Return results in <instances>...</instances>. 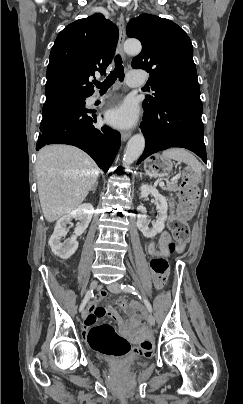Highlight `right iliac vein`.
I'll return each instance as SVG.
<instances>
[{"label":"right iliac vein","mask_w":243,"mask_h":404,"mask_svg":"<svg viewBox=\"0 0 243 404\" xmlns=\"http://www.w3.org/2000/svg\"><path fill=\"white\" fill-rule=\"evenodd\" d=\"M97 285H98V281L97 280H93L92 282H91V284H90V288L91 289H95L96 287H97ZM82 318L83 319H85L86 318V316H87V310L86 309H84L83 311H82Z\"/></svg>","instance_id":"obj_1"}]
</instances>
